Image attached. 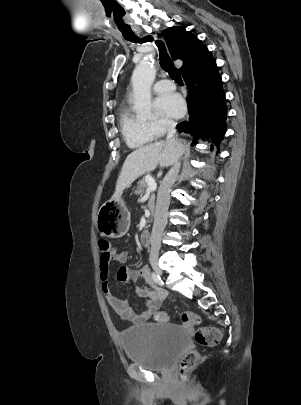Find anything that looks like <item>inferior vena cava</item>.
<instances>
[{"label":"inferior vena cava","mask_w":301,"mask_h":405,"mask_svg":"<svg viewBox=\"0 0 301 405\" xmlns=\"http://www.w3.org/2000/svg\"><path fill=\"white\" fill-rule=\"evenodd\" d=\"M176 122L173 120L167 121V141H173L176 143H181V140L177 138L176 134ZM181 163L176 160L166 174L157 195L155 218L151 233V254H158L161 247V237L165 229L168 217V208L170 204V191L171 187L175 183Z\"/></svg>","instance_id":"inferior-vena-cava-1"}]
</instances>
